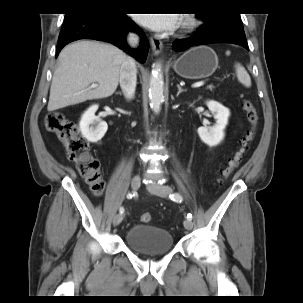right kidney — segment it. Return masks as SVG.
<instances>
[{
    "instance_id": "1",
    "label": "right kidney",
    "mask_w": 303,
    "mask_h": 303,
    "mask_svg": "<svg viewBox=\"0 0 303 303\" xmlns=\"http://www.w3.org/2000/svg\"><path fill=\"white\" fill-rule=\"evenodd\" d=\"M98 105L90 106L82 115L79 122V129L84 138L89 142L96 143L101 140L107 132L108 125L95 116ZM95 125V127L93 126Z\"/></svg>"
}]
</instances>
